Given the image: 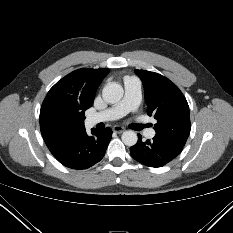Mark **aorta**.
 Masks as SVG:
<instances>
[{
    "label": "aorta",
    "mask_w": 233,
    "mask_h": 233,
    "mask_svg": "<svg viewBox=\"0 0 233 233\" xmlns=\"http://www.w3.org/2000/svg\"><path fill=\"white\" fill-rule=\"evenodd\" d=\"M123 94L124 90L122 86L113 82L106 84L102 90L104 101L110 104L119 102ZM121 139L126 146H134L137 143L138 137L134 131L128 130L123 132Z\"/></svg>",
    "instance_id": "1"
}]
</instances>
